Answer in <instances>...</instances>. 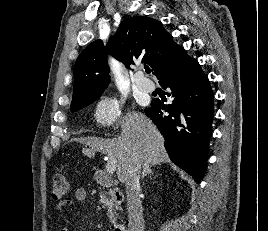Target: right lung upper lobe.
<instances>
[{
    "label": "right lung upper lobe",
    "mask_w": 268,
    "mask_h": 231,
    "mask_svg": "<svg viewBox=\"0 0 268 231\" xmlns=\"http://www.w3.org/2000/svg\"><path fill=\"white\" fill-rule=\"evenodd\" d=\"M109 52L126 67L134 64L133 59H141L142 63L151 66L158 80L192 59L174 42L160 21L146 16L128 18L121 22L106 47L102 40H96L78 56L71 105L101 96L110 82Z\"/></svg>",
    "instance_id": "right-lung-upper-lobe-1"
}]
</instances>
